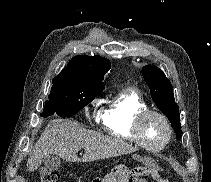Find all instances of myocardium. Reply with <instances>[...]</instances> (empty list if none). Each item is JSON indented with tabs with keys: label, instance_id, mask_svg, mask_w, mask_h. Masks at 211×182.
<instances>
[{
	"label": "myocardium",
	"instance_id": "myocardium-1",
	"mask_svg": "<svg viewBox=\"0 0 211 182\" xmlns=\"http://www.w3.org/2000/svg\"><path fill=\"white\" fill-rule=\"evenodd\" d=\"M150 115H155L157 117H159L165 124L166 129H167V136L166 139L157 146H151L149 144H147L142 137V133H141V127H142V123L144 121V119ZM133 136L135 138V141L143 148L147 149V150H151V151H159L162 150L163 148H165L171 141L172 136H173V129H172V125L168 119V117L158 111V110H154V109H144L142 111H140L135 119H134V123H133Z\"/></svg>",
	"mask_w": 211,
	"mask_h": 182
}]
</instances>
